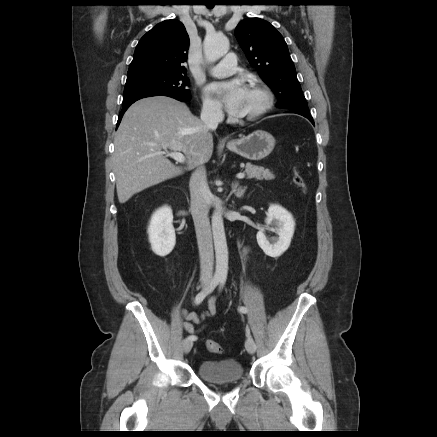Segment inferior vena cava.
<instances>
[{
    "mask_svg": "<svg viewBox=\"0 0 437 437\" xmlns=\"http://www.w3.org/2000/svg\"><path fill=\"white\" fill-rule=\"evenodd\" d=\"M223 117L222 111L214 106L203 108L201 121L205 127L215 130ZM190 210L193 217L200 257V280L209 283L213 278L214 253L212 233L208 217L211 192L207 183L204 165L196 167L190 178Z\"/></svg>",
    "mask_w": 437,
    "mask_h": 437,
    "instance_id": "602c4592",
    "label": "inferior vena cava"
}]
</instances>
